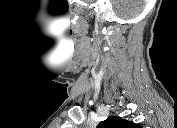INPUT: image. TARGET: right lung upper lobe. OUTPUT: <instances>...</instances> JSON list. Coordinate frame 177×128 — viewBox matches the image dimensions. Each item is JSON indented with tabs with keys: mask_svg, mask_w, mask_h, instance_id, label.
Returning <instances> with one entry per match:
<instances>
[{
	"mask_svg": "<svg viewBox=\"0 0 177 128\" xmlns=\"http://www.w3.org/2000/svg\"><path fill=\"white\" fill-rule=\"evenodd\" d=\"M100 128H137L139 125L132 121L124 120L116 116H110L99 123Z\"/></svg>",
	"mask_w": 177,
	"mask_h": 128,
	"instance_id": "obj_1",
	"label": "right lung upper lobe"
}]
</instances>
